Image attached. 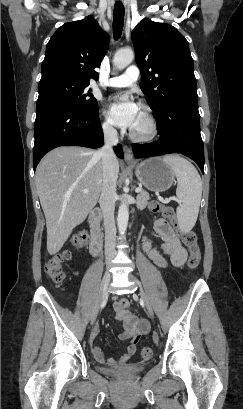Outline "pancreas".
I'll use <instances>...</instances> for the list:
<instances>
[{"instance_id":"1","label":"pancreas","mask_w":243,"mask_h":409,"mask_svg":"<svg viewBox=\"0 0 243 409\" xmlns=\"http://www.w3.org/2000/svg\"><path fill=\"white\" fill-rule=\"evenodd\" d=\"M150 199V195L148 192L142 190L138 195H137V208L140 210H143L146 208L148 205V201Z\"/></svg>"}]
</instances>
